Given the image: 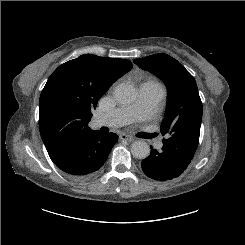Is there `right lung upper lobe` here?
I'll return each mask as SVG.
<instances>
[{
  "label": "right lung upper lobe",
  "mask_w": 245,
  "mask_h": 245,
  "mask_svg": "<svg viewBox=\"0 0 245 245\" xmlns=\"http://www.w3.org/2000/svg\"><path fill=\"white\" fill-rule=\"evenodd\" d=\"M132 68L129 60L81 55L49 77L39 102V128L53 162L91 134V110L109 87Z\"/></svg>",
  "instance_id": "right-lung-upper-lobe-1"
}]
</instances>
